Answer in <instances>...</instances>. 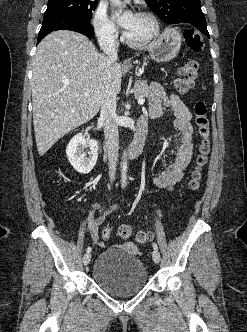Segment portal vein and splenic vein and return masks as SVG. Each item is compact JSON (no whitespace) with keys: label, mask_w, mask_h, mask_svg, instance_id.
<instances>
[{"label":"portal vein and splenic vein","mask_w":247,"mask_h":332,"mask_svg":"<svg viewBox=\"0 0 247 332\" xmlns=\"http://www.w3.org/2000/svg\"><path fill=\"white\" fill-rule=\"evenodd\" d=\"M85 96H88V93L84 94ZM145 103V99H138V104L143 105Z\"/></svg>","instance_id":"portal-vein-and-splenic-vein-1"}]
</instances>
